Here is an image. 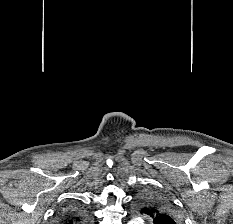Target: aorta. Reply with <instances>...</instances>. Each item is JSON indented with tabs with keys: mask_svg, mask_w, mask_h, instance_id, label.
<instances>
[{
	"mask_svg": "<svg viewBox=\"0 0 233 224\" xmlns=\"http://www.w3.org/2000/svg\"><path fill=\"white\" fill-rule=\"evenodd\" d=\"M128 224H144V222L141 218H133Z\"/></svg>",
	"mask_w": 233,
	"mask_h": 224,
	"instance_id": "762f6f07",
	"label": "aorta"
}]
</instances>
